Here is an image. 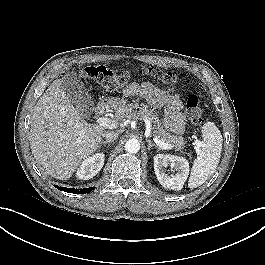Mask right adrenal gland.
I'll return each mask as SVG.
<instances>
[{"label":"right adrenal gland","instance_id":"right-adrenal-gland-1","mask_svg":"<svg viewBox=\"0 0 265 265\" xmlns=\"http://www.w3.org/2000/svg\"><path fill=\"white\" fill-rule=\"evenodd\" d=\"M113 140H106L103 141L102 144L106 145V144H112Z\"/></svg>","mask_w":265,"mask_h":265}]
</instances>
